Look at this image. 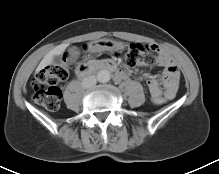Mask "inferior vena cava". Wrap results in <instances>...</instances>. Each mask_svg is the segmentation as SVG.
<instances>
[{
    "mask_svg": "<svg viewBox=\"0 0 219 174\" xmlns=\"http://www.w3.org/2000/svg\"><path fill=\"white\" fill-rule=\"evenodd\" d=\"M97 79L94 75L83 78L81 84L84 88L90 89L96 85Z\"/></svg>",
    "mask_w": 219,
    "mask_h": 174,
    "instance_id": "1",
    "label": "inferior vena cava"
}]
</instances>
